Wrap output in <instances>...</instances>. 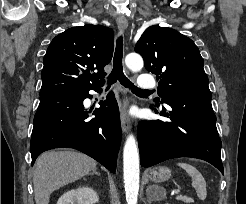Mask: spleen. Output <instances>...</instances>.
Masks as SVG:
<instances>
[{
  "label": "spleen",
  "mask_w": 246,
  "mask_h": 204,
  "mask_svg": "<svg viewBox=\"0 0 246 204\" xmlns=\"http://www.w3.org/2000/svg\"><path fill=\"white\" fill-rule=\"evenodd\" d=\"M182 169H184L187 174L192 178V186L197 192V196L200 200H205L207 196L206 191V181L203 175L191 164L188 163H178Z\"/></svg>",
  "instance_id": "1"
}]
</instances>
